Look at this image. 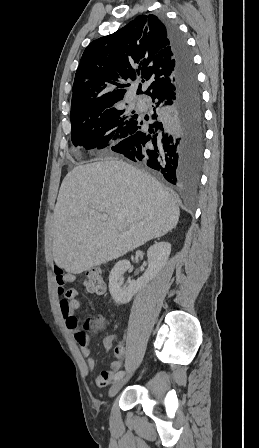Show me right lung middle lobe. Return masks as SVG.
<instances>
[{
  "instance_id": "obj_1",
  "label": "right lung middle lobe",
  "mask_w": 259,
  "mask_h": 448,
  "mask_svg": "<svg viewBox=\"0 0 259 448\" xmlns=\"http://www.w3.org/2000/svg\"><path fill=\"white\" fill-rule=\"evenodd\" d=\"M135 111L98 107L71 114V140L86 149H102L123 139L126 129L136 120ZM112 130V131H111Z\"/></svg>"
}]
</instances>
